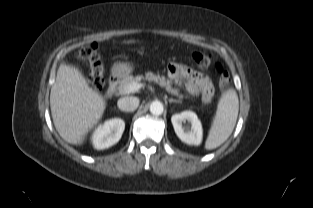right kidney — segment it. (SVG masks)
Returning <instances> with one entry per match:
<instances>
[{"instance_id": "1", "label": "right kidney", "mask_w": 313, "mask_h": 208, "mask_svg": "<svg viewBox=\"0 0 313 208\" xmlns=\"http://www.w3.org/2000/svg\"><path fill=\"white\" fill-rule=\"evenodd\" d=\"M125 129V122L120 118L110 119L99 125L92 135L93 146L97 150L109 148L116 144Z\"/></svg>"}]
</instances>
